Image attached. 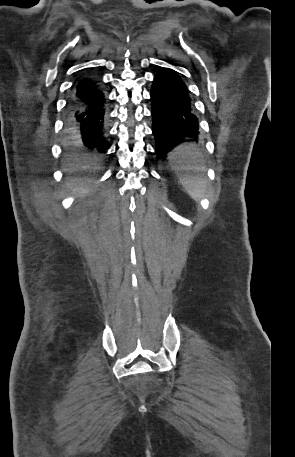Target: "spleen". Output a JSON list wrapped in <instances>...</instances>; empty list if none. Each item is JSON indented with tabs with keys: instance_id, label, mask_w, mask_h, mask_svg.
Masks as SVG:
<instances>
[{
	"instance_id": "1",
	"label": "spleen",
	"mask_w": 295,
	"mask_h": 457,
	"mask_svg": "<svg viewBox=\"0 0 295 457\" xmlns=\"http://www.w3.org/2000/svg\"><path fill=\"white\" fill-rule=\"evenodd\" d=\"M173 169L179 174L180 181L188 194L194 200H200L207 188L205 179L194 174H187L190 171L199 170L201 154L189 146H182L173 155Z\"/></svg>"
}]
</instances>
